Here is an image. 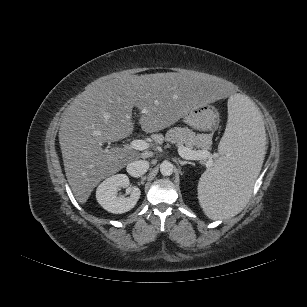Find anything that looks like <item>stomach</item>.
Masks as SVG:
<instances>
[{"instance_id":"stomach-1","label":"stomach","mask_w":307,"mask_h":307,"mask_svg":"<svg viewBox=\"0 0 307 307\" xmlns=\"http://www.w3.org/2000/svg\"><path fill=\"white\" fill-rule=\"evenodd\" d=\"M183 121L197 130H213L219 123V113L213 106L201 105L187 112Z\"/></svg>"}]
</instances>
